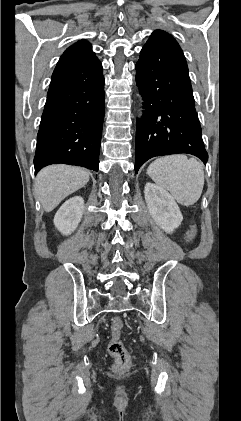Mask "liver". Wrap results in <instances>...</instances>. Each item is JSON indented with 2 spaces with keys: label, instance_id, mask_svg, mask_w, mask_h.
I'll return each instance as SVG.
<instances>
[{
  "label": "liver",
  "instance_id": "liver-1",
  "mask_svg": "<svg viewBox=\"0 0 241 421\" xmlns=\"http://www.w3.org/2000/svg\"><path fill=\"white\" fill-rule=\"evenodd\" d=\"M88 181L89 172L83 168L63 164L51 165L37 174L34 192L44 210L51 212Z\"/></svg>",
  "mask_w": 241,
  "mask_h": 421
}]
</instances>
